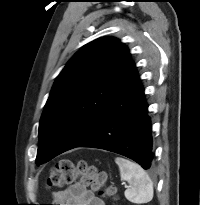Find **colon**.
<instances>
[{"label": "colon", "mask_w": 200, "mask_h": 205, "mask_svg": "<svg viewBox=\"0 0 200 205\" xmlns=\"http://www.w3.org/2000/svg\"><path fill=\"white\" fill-rule=\"evenodd\" d=\"M71 183L89 186L106 197L116 196V188L113 185H107V175L104 171L98 170L83 160L76 164L70 160H60L50 169L46 187L60 188Z\"/></svg>", "instance_id": "1"}]
</instances>
